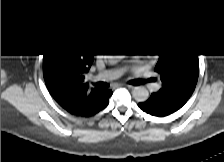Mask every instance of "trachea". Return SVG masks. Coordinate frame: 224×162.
<instances>
[{"label": "trachea", "instance_id": "trachea-1", "mask_svg": "<svg viewBox=\"0 0 224 162\" xmlns=\"http://www.w3.org/2000/svg\"><path fill=\"white\" fill-rule=\"evenodd\" d=\"M95 86H97L98 88H107L109 87V84L108 83H105V82H98L97 84H95Z\"/></svg>", "mask_w": 224, "mask_h": 162}]
</instances>
